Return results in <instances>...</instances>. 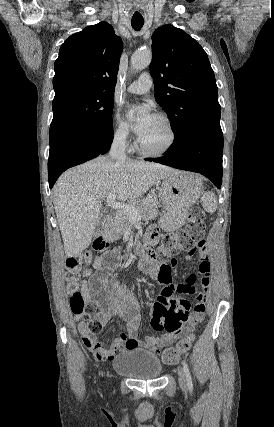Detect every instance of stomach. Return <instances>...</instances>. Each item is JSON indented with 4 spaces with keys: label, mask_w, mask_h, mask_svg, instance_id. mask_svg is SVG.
<instances>
[{
    "label": "stomach",
    "mask_w": 274,
    "mask_h": 427,
    "mask_svg": "<svg viewBox=\"0 0 274 427\" xmlns=\"http://www.w3.org/2000/svg\"><path fill=\"white\" fill-rule=\"evenodd\" d=\"M200 180L195 174H186V172H176L163 178L159 190L160 202H162V214L158 223L165 231H175L185 223L187 210L197 202L199 192H196L194 182ZM198 194L196 198H192Z\"/></svg>",
    "instance_id": "stomach-1"
}]
</instances>
